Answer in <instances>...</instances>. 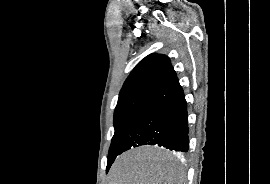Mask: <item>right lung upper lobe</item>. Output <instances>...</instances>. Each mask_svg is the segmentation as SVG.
I'll use <instances>...</instances> for the list:
<instances>
[{"mask_svg": "<svg viewBox=\"0 0 270 184\" xmlns=\"http://www.w3.org/2000/svg\"><path fill=\"white\" fill-rule=\"evenodd\" d=\"M169 57L150 54L140 61L126 79L118 100L134 96L150 97L176 79Z\"/></svg>", "mask_w": 270, "mask_h": 184, "instance_id": "obj_1", "label": "right lung upper lobe"}]
</instances>
